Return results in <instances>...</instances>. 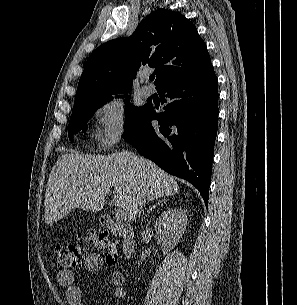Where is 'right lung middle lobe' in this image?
I'll list each match as a JSON object with an SVG mask.
<instances>
[{
    "instance_id": "right-lung-middle-lobe-1",
    "label": "right lung middle lobe",
    "mask_w": 297,
    "mask_h": 305,
    "mask_svg": "<svg viewBox=\"0 0 297 305\" xmlns=\"http://www.w3.org/2000/svg\"><path fill=\"white\" fill-rule=\"evenodd\" d=\"M128 92H130V90L122 91L119 93L125 94ZM125 98L127 99V101L129 100L128 96H125ZM109 99L110 97H106V96L93 97L74 103L72 115L70 117L69 131H68L69 138L71 141H73V139L71 138L70 135H72L73 133H76L80 130L86 132L87 127L85 126V123H87V121L92 117V115L94 114L93 112L96 109L100 108L102 105H104L105 102H107ZM147 107L148 105H144L142 107H135L131 104L127 105L125 108L126 120H125L124 128L128 129L136 122H138L145 113Z\"/></svg>"
}]
</instances>
